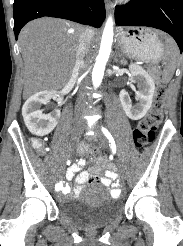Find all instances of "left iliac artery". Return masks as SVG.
Listing matches in <instances>:
<instances>
[{"label": "left iliac artery", "instance_id": "44dca946", "mask_svg": "<svg viewBox=\"0 0 183 246\" xmlns=\"http://www.w3.org/2000/svg\"><path fill=\"white\" fill-rule=\"evenodd\" d=\"M101 130L104 133V135L106 136V138L109 140V145H110V148L112 149V152L116 153V144H115V141H114L111 133L103 126L101 127Z\"/></svg>", "mask_w": 183, "mask_h": 246}]
</instances>
